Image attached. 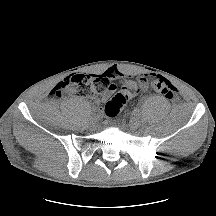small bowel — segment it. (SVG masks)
<instances>
[{
    "instance_id": "small-bowel-1",
    "label": "small bowel",
    "mask_w": 216,
    "mask_h": 216,
    "mask_svg": "<svg viewBox=\"0 0 216 216\" xmlns=\"http://www.w3.org/2000/svg\"><path fill=\"white\" fill-rule=\"evenodd\" d=\"M103 74L112 80H116V79L122 80L124 86L130 85L133 83H139L143 79V78H135V79L125 80L126 74L123 73L122 71H120L119 69H117L116 67L108 68ZM140 89L138 91L133 92L130 95V98L136 96L139 93ZM116 90H117V85L115 83L111 82L108 89L102 94L99 101H101V102L107 101L115 93Z\"/></svg>"
}]
</instances>
